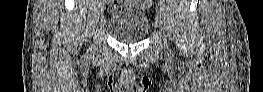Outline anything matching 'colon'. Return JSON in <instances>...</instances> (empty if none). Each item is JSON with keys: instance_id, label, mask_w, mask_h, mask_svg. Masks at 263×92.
<instances>
[{"instance_id": "1", "label": "colon", "mask_w": 263, "mask_h": 92, "mask_svg": "<svg viewBox=\"0 0 263 92\" xmlns=\"http://www.w3.org/2000/svg\"><path fill=\"white\" fill-rule=\"evenodd\" d=\"M116 8L117 7L115 6V7H111L110 9H111V11H114Z\"/></svg>"}]
</instances>
